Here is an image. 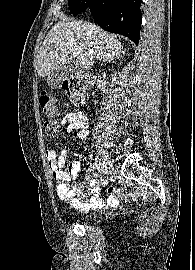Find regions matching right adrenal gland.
<instances>
[{
  "label": "right adrenal gland",
  "mask_w": 195,
  "mask_h": 270,
  "mask_svg": "<svg viewBox=\"0 0 195 270\" xmlns=\"http://www.w3.org/2000/svg\"><path fill=\"white\" fill-rule=\"evenodd\" d=\"M105 61H107V60H103V62H105ZM109 62H110V60H108Z\"/></svg>",
  "instance_id": "2a0ac1e0"
}]
</instances>
